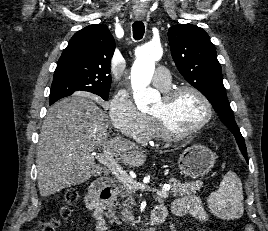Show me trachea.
Segmentation results:
<instances>
[{
	"instance_id": "1",
	"label": "trachea",
	"mask_w": 268,
	"mask_h": 231,
	"mask_svg": "<svg viewBox=\"0 0 268 231\" xmlns=\"http://www.w3.org/2000/svg\"><path fill=\"white\" fill-rule=\"evenodd\" d=\"M133 28V37L135 40L142 39L145 33V26L142 21H136L132 25Z\"/></svg>"
}]
</instances>
